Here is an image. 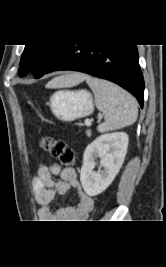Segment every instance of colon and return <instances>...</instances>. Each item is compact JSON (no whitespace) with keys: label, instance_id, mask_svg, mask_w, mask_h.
<instances>
[{"label":"colon","instance_id":"1","mask_svg":"<svg viewBox=\"0 0 166 267\" xmlns=\"http://www.w3.org/2000/svg\"><path fill=\"white\" fill-rule=\"evenodd\" d=\"M40 146L44 150L49 151L53 156L59 158L66 167H70L75 163L74 151L63 142L54 141L51 137H43L40 140Z\"/></svg>","mask_w":166,"mask_h":267}]
</instances>
